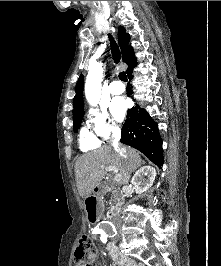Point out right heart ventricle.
Wrapping results in <instances>:
<instances>
[{
    "mask_svg": "<svg viewBox=\"0 0 221 266\" xmlns=\"http://www.w3.org/2000/svg\"><path fill=\"white\" fill-rule=\"evenodd\" d=\"M80 148L83 151L93 150L100 146V140L87 128H82L79 136Z\"/></svg>",
    "mask_w": 221,
    "mask_h": 266,
    "instance_id": "obj_1",
    "label": "right heart ventricle"
}]
</instances>
